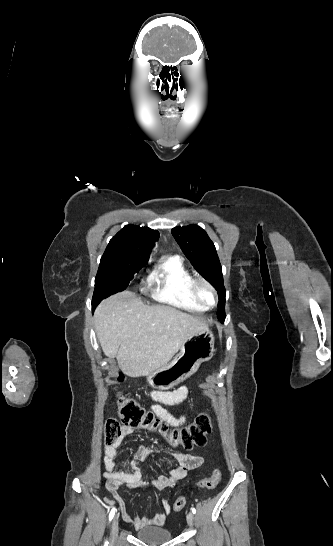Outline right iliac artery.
Wrapping results in <instances>:
<instances>
[{"label":"right iliac artery","instance_id":"right-iliac-artery-1","mask_svg":"<svg viewBox=\"0 0 333 546\" xmlns=\"http://www.w3.org/2000/svg\"><path fill=\"white\" fill-rule=\"evenodd\" d=\"M115 507L111 510L110 514H109V521L112 520V518L114 517V514H115ZM105 546H108V541L105 542Z\"/></svg>","mask_w":333,"mask_h":546}]
</instances>
